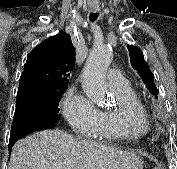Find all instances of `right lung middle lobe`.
Instances as JSON below:
<instances>
[{"mask_svg":"<svg viewBox=\"0 0 177 169\" xmlns=\"http://www.w3.org/2000/svg\"><path fill=\"white\" fill-rule=\"evenodd\" d=\"M66 89L49 95L27 94L17 97L14 119L37 117L58 122L59 101Z\"/></svg>","mask_w":177,"mask_h":169,"instance_id":"1","label":"right lung middle lobe"}]
</instances>
